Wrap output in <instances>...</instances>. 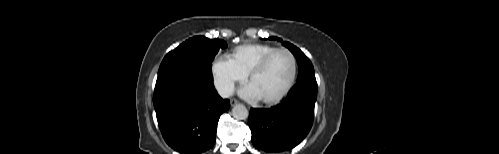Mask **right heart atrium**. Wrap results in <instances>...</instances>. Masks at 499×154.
Here are the masks:
<instances>
[{
  "instance_id": "obj_1",
  "label": "right heart atrium",
  "mask_w": 499,
  "mask_h": 154,
  "mask_svg": "<svg viewBox=\"0 0 499 154\" xmlns=\"http://www.w3.org/2000/svg\"><path fill=\"white\" fill-rule=\"evenodd\" d=\"M210 73L215 89L222 96L230 95L235 84L244 81L247 77V74L240 70L226 55L213 59Z\"/></svg>"
}]
</instances>
